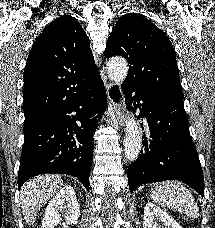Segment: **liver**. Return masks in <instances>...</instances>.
Listing matches in <instances>:
<instances>
[{"label":"liver","mask_w":215,"mask_h":228,"mask_svg":"<svg viewBox=\"0 0 215 228\" xmlns=\"http://www.w3.org/2000/svg\"><path fill=\"white\" fill-rule=\"evenodd\" d=\"M61 186L64 184L58 174L35 176L23 184L20 190V202L23 218L29 228L34 224L38 210H41L47 200L54 196Z\"/></svg>","instance_id":"1"}]
</instances>
